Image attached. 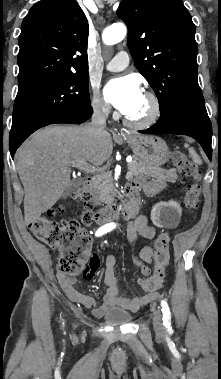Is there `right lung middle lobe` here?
Instances as JSON below:
<instances>
[{
  "label": "right lung middle lobe",
  "mask_w": 221,
  "mask_h": 379,
  "mask_svg": "<svg viewBox=\"0 0 221 379\" xmlns=\"http://www.w3.org/2000/svg\"><path fill=\"white\" fill-rule=\"evenodd\" d=\"M88 73L61 74L19 84L13 108L10 143L35 130L89 107Z\"/></svg>",
  "instance_id": "dd1d6c3e"
}]
</instances>
